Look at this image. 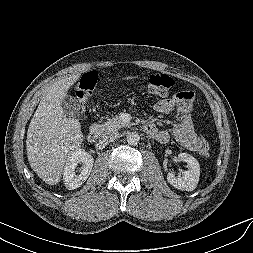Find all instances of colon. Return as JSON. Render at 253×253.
<instances>
[{"label": "colon", "mask_w": 253, "mask_h": 253, "mask_svg": "<svg viewBox=\"0 0 253 253\" xmlns=\"http://www.w3.org/2000/svg\"><path fill=\"white\" fill-rule=\"evenodd\" d=\"M98 82V75L95 72L86 73L80 80L76 89V98L81 107L84 109L92 92ZM174 85L172 77L162 73H154L148 77L145 91L147 94L155 97L166 96ZM179 101L192 103L194 95L191 91H181L175 95ZM198 151L201 155L209 154V145L205 139L200 138L198 143Z\"/></svg>", "instance_id": "1"}]
</instances>
